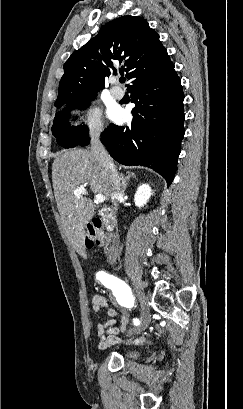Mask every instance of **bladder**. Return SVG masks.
Wrapping results in <instances>:
<instances>
[{"instance_id": "1", "label": "bladder", "mask_w": 243, "mask_h": 409, "mask_svg": "<svg viewBox=\"0 0 243 409\" xmlns=\"http://www.w3.org/2000/svg\"><path fill=\"white\" fill-rule=\"evenodd\" d=\"M140 355V352L137 349H126L122 352V356L125 359H135Z\"/></svg>"}]
</instances>
